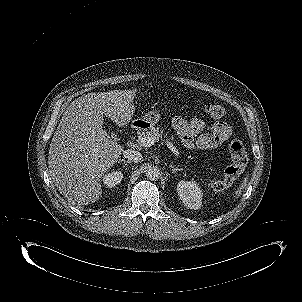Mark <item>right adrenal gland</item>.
<instances>
[{
  "mask_svg": "<svg viewBox=\"0 0 302 302\" xmlns=\"http://www.w3.org/2000/svg\"><path fill=\"white\" fill-rule=\"evenodd\" d=\"M119 161H120V162H123V163H126V164H130V161H126V160H124V159H122V160L120 159Z\"/></svg>",
  "mask_w": 302,
  "mask_h": 302,
  "instance_id": "2a0ac1e0",
  "label": "right adrenal gland"
}]
</instances>
